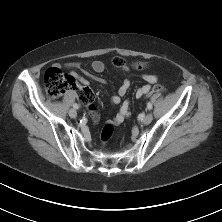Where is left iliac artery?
<instances>
[{
	"label": "left iliac artery",
	"mask_w": 222,
	"mask_h": 222,
	"mask_svg": "<svg viewBox=\"0 0 222 222\" xmlns=\"http://www.w3.org/2000/svg\"><path fill=\"white\" fill-rule=\"evenodd\" d=\"M147 108H148L149 110L152 109V104H151L150 102L147 103Z\"/></svg>",
	"instance_id": "obj_1"
}]
</instances>
